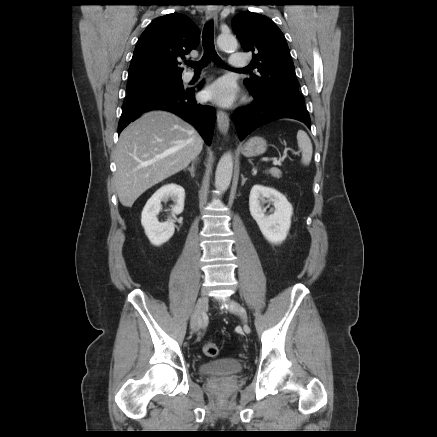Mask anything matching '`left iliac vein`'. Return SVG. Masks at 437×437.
I'll return each instance as SVG.
<instances>
[{
  "mask_svg": "<svg viewBox=\"0 0 437 437\" xmlns=\"http://www.w3.org/2000/svg\"><path fill=\"white\" fill-rule=\"evenodd\" d=\"M227 304L229 305V310L232 313L240 316L241 319L246 323L247 316H246V312H245L244 308L233 300H227Z\"/></svg>",
  "mask_w": 437,
  "mask_h": 437,
  "instance_id": "obj_1",
  "label": "left iliac vein"
}]
</instances>
